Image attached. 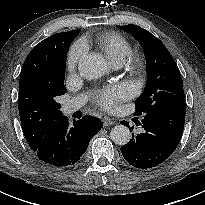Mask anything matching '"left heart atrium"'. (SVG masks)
Returning <instances> with one entry per match:
<instances>
[{"label": "left heart atrium", "instance_id": "39dd6f15", "mask_svg": "<svg viewBox=\"0 0 205 205\" xmlns=\"http://www.w3.org/2000/svg\"><path fill=\"white\" fill-rule=\"evenodd\" d=\"M132 90L128 83L111 84L96 93L95 102L103 108H110L115 103L129 98Z\"/></svg>", "mask_w": 205, "mask_h": 205}]
</instances>
